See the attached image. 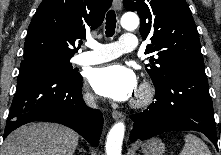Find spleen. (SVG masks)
Masks as SVG:
<instances>
[{
	"instance_id": "3e777b00",
	"label": "spleen",
	"mask_w": 221,
	"mask_h": 155,
	"mask_svg": "<svg viewBox=\"0 0 221 155\" xmlns=\"http://www.w3.org/2000/svg\"><path fill=\"white\" fill-rule=\"evenodd\" d=\"M185 144L179 155H211L207 145L197 136L189 133L184 136Z\"/></svg>"
}]
</instances>
